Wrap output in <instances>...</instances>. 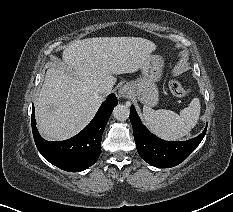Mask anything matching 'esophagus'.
Instances as JSON below:
<instances>
[{
    "instance_id": "1",
    "label": "esophagus",
    "mask_w": 233,
    "mask_h": 212,
    "mask_svg": "<svg viewBox=\"0 0 233 212\" xmlns=\"http://www.w3.org/2000/svg\"><path fill=\"white\" fill-rule=\"evenodd\" d=\"M131 94V88L128 85H124L118 91V96L124 99L130 98Z\"/></svg>"
}]
</instances>
